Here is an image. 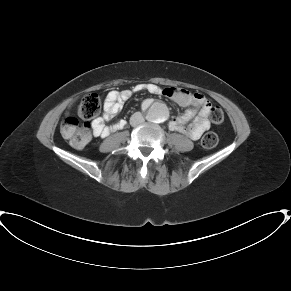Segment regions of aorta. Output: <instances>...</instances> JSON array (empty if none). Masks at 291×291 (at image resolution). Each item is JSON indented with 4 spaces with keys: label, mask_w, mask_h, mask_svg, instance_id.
<instances>
[{
    "label": "aorta",
    "mask_w": 291,
    "mask_h": 291,
    "mask_svg": "<svg viewBox=\"0 0 291 291\" xmlns=\"http://www.w3.org/2000/svg\"><path fill=\"white\" fill-rule=\"evenodd\" d=\"M147 117L155 123H162L168 117V109L165 104L154 103L148 110Z\"/></svg>",
    "instance_id": "762f6f07"
}]
</instances>
